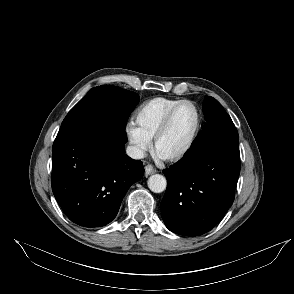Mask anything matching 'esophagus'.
<instances>
[{
    "label": "esophagus",
    "instance_id": "1",
    "mask_svg": "<svg viewBox=\"0 0 294 294\" xmlns=\"http://www.w3.org/2000/svg\"><path fill=\"white\" fill-rule=\"evenodd\" d=\"M155 172H156V169L152 165H146L145 166V175L146 176L154 174Z\"/></svg>",
    "mask_w": 294,
    "mask_h": 294
}]
</instances>
